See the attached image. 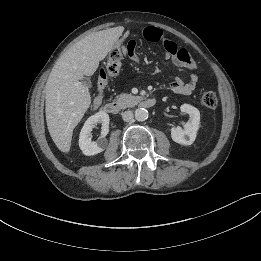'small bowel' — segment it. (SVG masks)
I'll return each mask as SVG.
<instances>
[{
    "label": "small bowel",
    "instance_id": "1",
    "mask_svg": "<svg viewBox=\"0 0 261 261\" xmlns=\"http://www.w3.org/2000/svg\"><path fill=\"white\" fill-rule=\"evenodd\" d=\"M142 35L148 41H161L163 43L164 57L171 60L176 70L186 69L191 72L188 81H184L180 77H175L170 83L172 92L180 95H190L198 81V68L190 53L186 49L179 48L174 41L165 38L162 31L156 27H146L142 31ZM135 47V41L131 40L123 47V50L129 56L135 57ZM102 101L103 92H99L93 100L94 107H98Z\"/></svg>",
    "mask_w": 261,
    "mask_h": 261
}]
</instances>
